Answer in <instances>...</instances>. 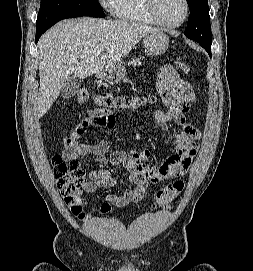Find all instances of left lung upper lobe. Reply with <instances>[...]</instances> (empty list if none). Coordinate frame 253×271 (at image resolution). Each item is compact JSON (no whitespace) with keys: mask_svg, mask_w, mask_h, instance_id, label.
<instances>
[{"mask_svg":"<svg viewBox=\"0 0 253 271\" xmlns=\"http://www.w3.org/2000/svg\"><path fill=\"white\" fill-rule=\"evenodd\" d=\"M190 16L185 36L197 41L201 46L211 45V25L208 0H187Z\"/></svg>","mask_w":253,"mask_h":271,"instance_id":"1","label":"left lung upper lobe"}]
</instances>
